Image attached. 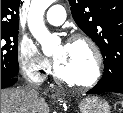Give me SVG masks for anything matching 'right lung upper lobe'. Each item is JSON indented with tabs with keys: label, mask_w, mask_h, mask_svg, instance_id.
<instances>
[{
	"label": "right lung upper lobe",
	"mask_w": 123,
	"mask_h": 113,
	"mask_svg": "<svg viewBox=\"0 0 123 113\" xmlns=\"http://www.w3.org/2000/svg\"><path fill=\"white\" fill-rule=\"evenodd\" d=\"M21 0H1V30L18 29V10Z\"/></svg>",
	"instance_id": "1"
}]
</instances>
